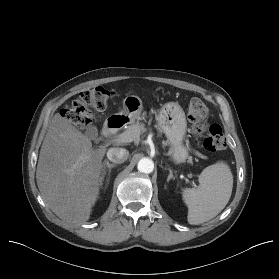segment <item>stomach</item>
<instances>
[{
  "mask_svg": "<svg viewBox=\"0 0 279 279\" xmlns=\"http://www.w3.org/2000/svg\"><path fill=\"white\" fill-rule=\"evenodd\" d=\"M142 101L138 96L129 95L123 100V109L118 114L129 123L139 118ZM157 121L170 145L169 153L175 163H182L188 157V149L183 145L187 122L183 109L175 102H168L160 109Z\"/></svg>",
  "mask_w": 279,
  "mask_h": 279,
  "instance_id": "0dacf381",
  "label": "stomach"
}]
</instances>
